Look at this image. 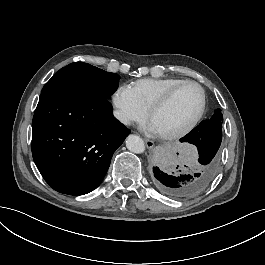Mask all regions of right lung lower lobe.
I'll return each mask as SVG.
<instances>
[{
	"label": "right lung lower lobe",
	"instance_id": "right-lung-lower-lobe-1",
	"mask_svg": "<svg viewBox=\"0 0 265 265\" xmlns=\"http://www.w3.org/2000/svg\"><path fill=\"white\" fill-rule=\"evenodd\" d=\"M129 133L106 99L42 94L32 121V155L54 190L84 195L101 183Z\"/></svg>",
	"mask_w": 265,
	"mask_h": 265
}]
</instances>
